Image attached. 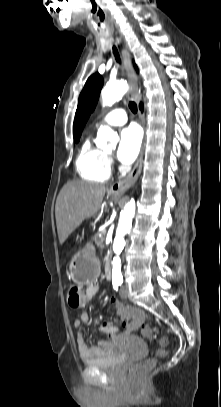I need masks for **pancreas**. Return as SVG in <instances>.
<instances>
[{
	"mask_svg": "<svg viewBox=\"0 0 221 407\" xmlns=\"http://www.w3.org/2000/svg\"><path fill=\"white\" fill-rule=\"evenodd\" d=\"M105 239V231L98 232L94 238L97 246L103 247V242Z\"/></svg>",
	"mask_w": 221,
	"mask_h": 407,
	"instance_id": "cf45deb5",
	"label": "pancreas"
}]
</instances>
